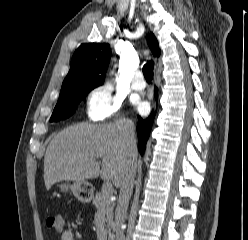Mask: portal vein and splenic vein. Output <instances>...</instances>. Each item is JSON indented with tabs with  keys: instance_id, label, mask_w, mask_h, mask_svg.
Wrapping results in <instances>:
<instances>
[{
	"instance_id": "18ae733b",
	"label": "portal vein and splenic vein",
	"mask_w": 248,
	"mask_h": 240,
	"mask_svg": "<svg viewBox=\"0 0 248 240\" xmlns=\"http://www.w3.org/2000/svg\"><path fill=\"white\" fill-rule=\"evenodd\" d=\"M102 192L107 195L110 196L113 192V187H112V183L110 181H105L103 183V187H102Z\"/></svg>"
}]
</instances>
